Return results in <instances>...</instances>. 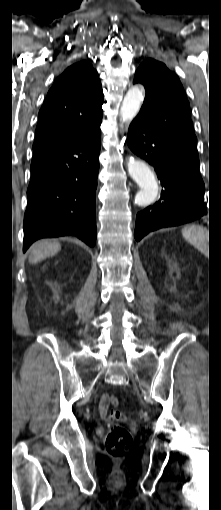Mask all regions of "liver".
<instances>
[{
    "mask_svg": "<svg viewBox=\"0 0 221 510\" xmlns=\"http://www.w3.org/2000/svg\"><path fill=\"white\" fill-rule=\"evenodd\" d=\"M60 249L61 245L57 241H39L31 247L29 262L36 264L46 258L53 257Z\"/></svg>",
    "mask_w": 221,
    "mask_h": 510,
    "instance_id": "obj_1",
    "label": "liver"
}]
</instances>
